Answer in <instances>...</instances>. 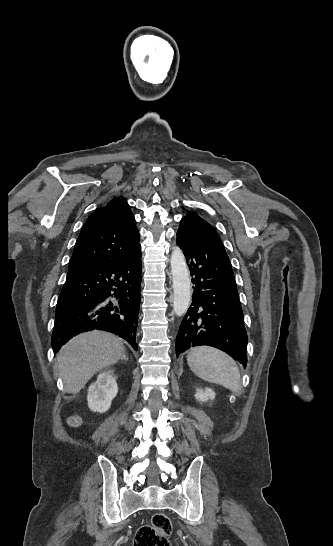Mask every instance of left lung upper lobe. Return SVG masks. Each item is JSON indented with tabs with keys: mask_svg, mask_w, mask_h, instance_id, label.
Here are the masks:
<instances>
[{
	"mask_svg": "<svg viewBox=\"0 0 333 546\" xmlns=\"http://www.w3.org/2000/svg\"><path fill=\"white\" fill-rule=\"evenodd\" d=\"M183 221H186L187 223L191 224L194 229H196L199 233H201L203 236H205L209 240L215 241L223 245L214 227L211 226L205 220H203L197 213L188 212L187 215L182 218L181 222Z\"/></svg>",
	"mask_w": 333,
	"mask_h": 546,
	"instance_id": "obj_1",
	"label": "left lung upper lobe"
}]
</instances>
